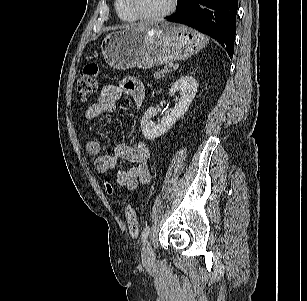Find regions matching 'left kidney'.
<instances>
[{
    "label": "left kidney",
    "mask_w": 307,
    "mask_h": 301,
    "mask_svg": "<svg viewBox=\"0 0 307 301\" xmlns=\"http://www.w3.org/2000/svg\"><path fill=\"white\" fill-rule=\"evenodd\" d=\"M198 88V82L189 75L180 77L170 88L171 93L180 92V98L171 112L164 116L160 123L154 124L151 120L156 109L150 107L141 120V129L146 139L153 140L167 132L177 120L188 110Z\"/></svg>",
    "instance_id": "obj_1"
}]
</instances>
